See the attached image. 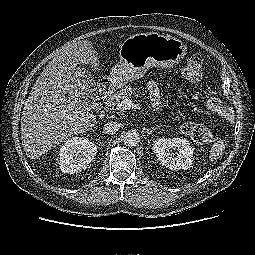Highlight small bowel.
I'll use <instances>...</instances> for the list:
<instances>
[{
  "mask_svg": "<svg viewBox=\"0 0 255 255\" xmlns=\"http://www.w3.org/2000/svg\"><path fill=\"white\" fill-rule=\"evenodd\" d=\"M147 90L151 99V102L154 106V108L159 109L160 105H161V100H160V92H159V88L158 85L156 84L155 81H149L147 84ZM208 108L211 110H215V109H222V105L219 102V104L216 107H213L212 105L209 104L208 102Z\"/></svg>",
  "mask_w": 255,
  "mask_h": 255,
  "instance_id": "small-bowel-1",
  "label": "small bowel"
}]
</instances>
